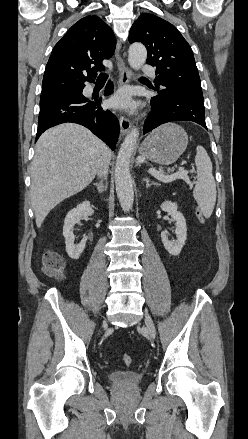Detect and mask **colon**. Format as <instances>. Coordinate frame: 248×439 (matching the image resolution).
Here are the masks:
<instances>
[{"label":"colon","mask_w":248,"mask_h":439,"mask_svg":"<svg viewBox=\"0 0 248 439\" xmlns=\"http://www.w3.org/2000/svg\"><path fill=\"white\" fill-rule=\"evenodd\" d=\"M195 215L201 224L205 223V217L198 207H195ZM42 264L43 271L46 275L53 278L63 277L65 264L58 253L54 251H46L43 255ZM122 362L124 365L129 366L132 364V357L129 354H124L122 356Z\"/></svg>","instance_id":"1"}]
</instances>
